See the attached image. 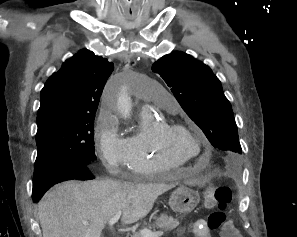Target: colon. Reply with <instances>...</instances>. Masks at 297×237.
<instances>
[{"label":"colon","mask_w":297,"mask_h":237,"mask_svg":"<svg viewBox=\"0 0 297 237\" xmlns=\"http://www.w3.org/2000/svg\"><path fill=\"white\" fill-rule=\"evenodd\" d=\"M205 207L211 210L207 225L212 230H219L223 237H242L233 222L225 214L228 204L231 202L232 194L229 187L217 185L209 188L204 194Z\"/></svg>","instance_id":"obj_1"}]
</instances>
